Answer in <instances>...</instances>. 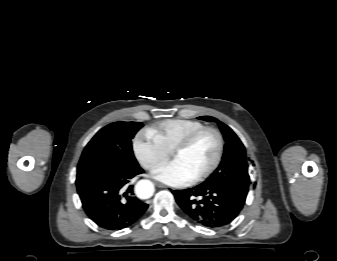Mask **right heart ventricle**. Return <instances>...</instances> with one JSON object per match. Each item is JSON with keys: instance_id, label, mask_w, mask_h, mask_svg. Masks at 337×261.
Returning a JSON list of instances; mask_svg holds the SVG:
<instances>
[{"instance_id": "right-heart-ventricle-1", "label": "right heart ventricle", "mask_w": 337, "mask_h": 261, "mask_svg": "<svg viewBox=\"0 0 337 261\" xmlns=\"http://www.w3.org/2000/svg\"><path fill=\"white\" fill-rule=\"evenodd\" d=\"M202 127L204 124L195 120L168 119L154 125L148 131L171 153L188 134Z\"/></svg>"}]
</instances>
